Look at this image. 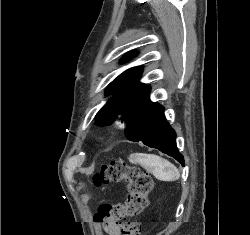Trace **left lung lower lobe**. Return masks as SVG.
I'll list each match as a JSON object with an SVG mask.
<instances>
[{
  "instance_id": "0a47b994",
  "label": "left lung lower lobe",
  "mask_w": 250,
  "mask_h": 235,
  "mask_svg": "<svg viewBox=\"0 0 250 235\" xmlns=\"http://www.w3.org/2000/svg\"><path fill=\"white\" fill-rule=\"evenodd\" d=\"M147 86L130 108L126 134L131 141H142L174 157L184 165V157L176 146V133L166 121L164 107L149 98Z\"/></svg>"
}]
</instances>
